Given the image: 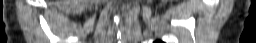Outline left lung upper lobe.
Listing matches in <instances>:
<instances>
[{
  "label": "left lung upper lobe",
  "instance_id": "5c2ea615",
  "mask_svg": "<svg viewBox=\"0 0 256 43\" xmlns=\"http://www.w3.org/2000/svg\"><path fill=\"white\" fill-rule=\"evenodd\" d=\"M156 43H162V42H160V41H157Z\"/></svg>",
  "mask_w": 256,
  "mask_h": 43
}]
</instances>
